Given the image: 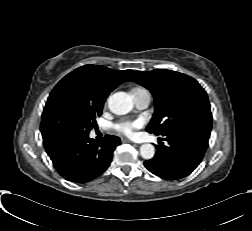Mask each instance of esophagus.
Listing matches in <instances>:
<instances>
[{"label":"esophagus","instance_id":"34e87169","mask_svg":"<svg viewBox=\"0 0 252 231\" xmlns=\"http://www.w3.org/2000/svg\"><path fill=\"white\" fill-rule=\"evenodd\" d=\"M122 142L134 144L133 141H131V140H129V139H126V138H123V139H122Z\"/></svg>","mask_w":252,"mask_h":231}]
</instances>
